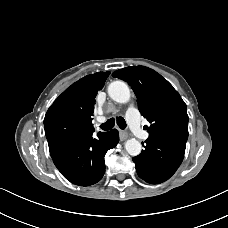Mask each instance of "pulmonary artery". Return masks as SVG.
<instances>
[{"mask_svg": "<svg viewBox=\"0 0 228 228\" xmlns=\"http://www.w3.org/2000/svg\"><path fill=\"white\" fill-rule=\"evenodd\" d=\"M126 116L133 133L138 138L146 140L149 137V133L141 127L138 110L134 106H130L127 110Z\"/></svg>", "mask_w": 228, "mask_h": 228, "instance_id": "e3ab8cb5", "label": "pulmonary artery"}]
</instances>
